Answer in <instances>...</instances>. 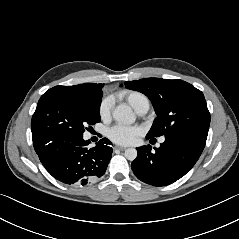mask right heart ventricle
Returning <instances> with one entry per match:
<instances>
[{
	"mask_svg": "<svg viewBox=\"0 0 239 239\" xmlns=\"http://www.w3.org/2000/svg\"><path fill=\"white\" fill-rule=\"evenodd\" d=\"M126 102L135 110L138 111L141 104L148 100L147 97L138 91H128L124 94Z\"/></svg>",
	"mask_w": 239,
	"mask_h": 239,
	"instance_id": "right-heart-ventricle-1",
	"label": "right heart ventricle"
}]
</instances>
